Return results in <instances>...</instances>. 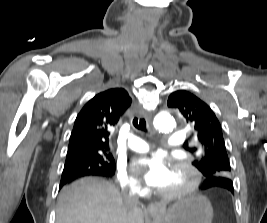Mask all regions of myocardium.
<instances>
[{
	"label": "myocardium",
	"mask_w": 267,
	"mask_h": 223,
	"mask_svg": "<svg viewBox=\"0 0 267 223\" xmlns=\"http://www.w3.org/2000/svg\"><path fill=\"white\" fill-rule=\"evenodd\" d=\"M173 173H186L189 177V182L182 188L160 191V194L166 199H178L195 193L201 183V175L199 171L185 160H175L172 166Z\"/></svg>",
	"instance_id": "1"
}]
</instances>
